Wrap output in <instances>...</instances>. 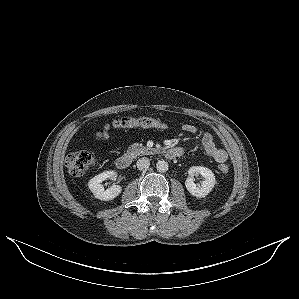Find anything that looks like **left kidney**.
Here are the masks:
<instances>
[{
    "label": "left kidney",
    "instance_id": "1",
    "mask_svg": "<svg viewBox=\"0 0 299 299\" xmlns=\"http://www.w3.org/2000/svg\"><path fill=\"white\" fill-rule=\"evenodd\" d=\"M189 177L185 181V186L187 190L196 197H205L213 189L216 180L214 173L202 166H193L188 170ZM195 174H201L204 177V181L201 184L196 185L193 181V176Z\"/></svg>",
    "mask_w": 299,
    "mask_h": 299
}]
</instances>
